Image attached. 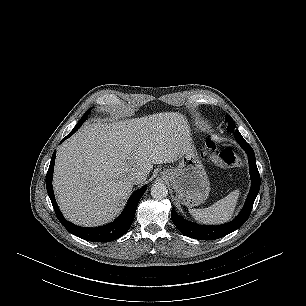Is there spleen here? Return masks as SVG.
I'll use <instances>...</instances> for the list:
<instances>
[{"instance_id":"3e777b00","label":"spleen","mask_w":306,"mask_h":306,"mask_svg":"<svg viewBox=\"0 0 306 306\" xmlns=\"http://www.w3.org/2000/svg\"><path fill=\"white\" fill-rule=\"evenodd\" d=\"M239 194V190H234L210 207L204 209H189V212L195 220L202 224L217 225L225 223L233 215Z\"/></svg>"}]
</instances>
